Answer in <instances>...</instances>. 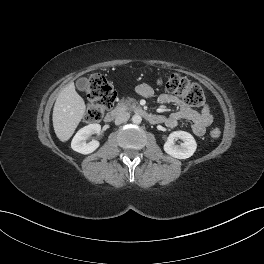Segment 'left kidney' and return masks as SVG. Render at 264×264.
<instances>
[{
    "label": "left kidney",
    "mask_w": 264,
    "mask_h": 264,
    "mask_svg": "<svg viewBox=\"0 0 264 264\" xmlns=\"http://www.w3.org/2000/svg\"><path fill=\"white\" fill-rule=\"evenodd\" d=\"M183 140L180 146L174 144L175 139ZM197 144L194 137L185 131L172 132L164 144V151L177 159H187L196 151Z\"/></svg>",
    "instance_id": "left-kidney-1"
}]
</instances>
